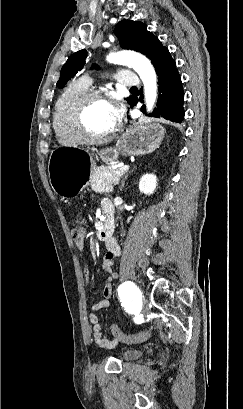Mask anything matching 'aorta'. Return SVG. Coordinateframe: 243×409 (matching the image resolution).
<instances>
[{"instance_id":"1","label":"aorta","mask_w":243,"mask_h":409,"mask_svg":"<svg viewBox=\"0 0 243 409\" xmlns=\"http://www.w3.org/2000/svg\"><path fill=\"white\" fill-rule=\"evenodd\" d=\"M107 61L126 65L137 72L144 84L147 111H152L157 97V78L151 62L145 56L135 52L111 53Z\"/></svg>"}]
</instances>
